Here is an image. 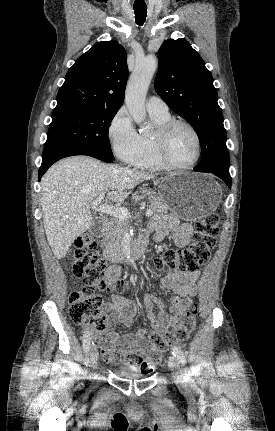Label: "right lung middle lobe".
Segmentation results:
<instances>
[{
  "label": "right lung middle lobe",
  "mask_w": 275,
  "mask_h": 431,
  "mask_svg": "<svg viewBox=\"0 0 275 431\" xmlns=\"http://www.w3.org/2000/svg\"><path fill=\"white\" fill-rule=\"evenodd\" d=\"M118 110L78 109L52 113L45 148L82 145L113 157L109 125Z\"/></svg>",
  "instance_id": "1"
}]
</instances>
